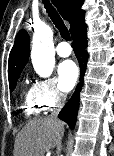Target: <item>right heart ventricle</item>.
Instances as JSON below:
<instances>
[{
  "label": "right heart ventricle",
  "mask_w": 114,
  "mask_h": 156,
  "mask_svg": "<svg viewBox=\"0 0 114 156\" xmlns=\"http://www.w3.org/2000/svg\"><path fill=\"white\" fill-rule=\"evenodd\" d=\"M23 109L27 116H38L44 110L42 105L36 100L32 88L25 92Z\"/></svg>",
  "instance_id": "obj_1"
}]
</instances>
